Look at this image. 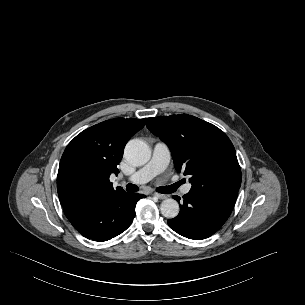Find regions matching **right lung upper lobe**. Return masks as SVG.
Returning a JSON list of instances; mask_svg holds the SVG:
<instances>
[{
  "label": "right lung upper lobe",
  "instance_id": "1",
  "mask_svg": "<svg viewBox=\"0 0 305 305\" xmlns=\"http://www.w3.org/2000/svg\"><path fill=\"white\" fill-rule=\"evenodd\" d=\"M144 125L145 119H110L84 130L68 144L57 176L64 209L124 191L114 190L109 177L119 173L117 165L126 143Z\"/></svg>",
  "mask_w": 305,
  "mask_h": 305
}]
</instances>
